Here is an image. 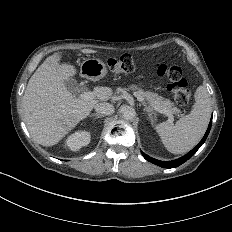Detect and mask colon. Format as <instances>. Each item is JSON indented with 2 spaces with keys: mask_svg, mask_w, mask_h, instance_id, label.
I'll return each instance as SVG.
<instances>
[{
  "mask_svg": "<svg viewBox=\"0 0 232 232\" xmlns=\"http://www.w3.org/2000/svg\"><path fill=\"white\" fill-rule=\"evenodd\" d=\"M107 66L114 70V73H135L132 59L128 55L108 56ZM154 74L158 78L165 77L167 82H173L172 94L175 105H188L192 93V86L189 78L183 74V68L179 64H171L167 67L163 62H158L154 66ZM177 111H186V106H177Z\"/></svg>",
  "mask_w": 232,
  "mask_h": 232,
  "instance_id": "colon-1",
  "label": "colon"
}]
</instances>
